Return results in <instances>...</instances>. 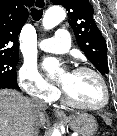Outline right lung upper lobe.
Segmentation results:
<instances>
[{"instance_id":"1","label":"right lung upper lobe","mask_w":117,"mask_h":136,"mask_svg":"<svg viewBox=\"0 0 117 136\" xmlns=\"http://www.w3.org/2000/svg\"><path fill=\"white\" fill-rule=\"evenodd\" d=\"M34 0H0V57L19 56L18 35Z\"/></svg>"}]
</instances>
